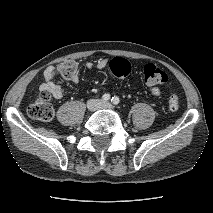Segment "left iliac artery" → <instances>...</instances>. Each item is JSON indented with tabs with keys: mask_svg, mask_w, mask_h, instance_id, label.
I'll list each match as a JSON object with an SVG mask.
<instances>
[{
	"mask_svg": "<svg viewBox=\"0 0 213 213\" xmlns=\"http://www.w3.org/2000/svg\"><path fill=\"white\" fill-rule=\"evenodd\" d=\"M111 102H112L114 105H118L119 102H120V100H119V98H118L117 96H114V97H112Z\"/></svg>",
	"mask_w": 213,
	"mask_h": 213,
	"instance_id": "left-iliac-artery-1",
	"label": "left iliac artery"
}]
</instances>
